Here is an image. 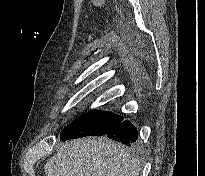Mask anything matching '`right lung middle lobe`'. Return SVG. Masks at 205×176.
I'll return each mask as SVG.
<instances>
[{
  "mask_svg": "<svg viewBox=\"0 0 205 176\" xmlns=\"http://www.w3.org/2000/svg\"><path fill=\"white\" fill-rule=\"evenodd\" d=\"M123 120V117L111 112L91 110L66 126L60 134L62 139L84 136H102ZM66 139V140H67Z\"/></svg>",
  "mask_w": 205,
  "mask_h": 176,
  "instance_id": "right-lung-middle-lobe-1",
  "label": "right lung middle lobe"
}]
</instances>
